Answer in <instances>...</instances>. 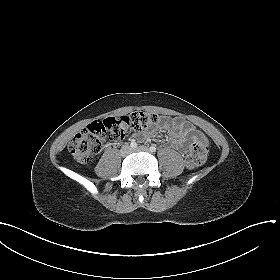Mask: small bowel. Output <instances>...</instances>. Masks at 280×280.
<instances>
[{
	"label": "small bowel",
	"instance_id": "c3829d8e",
	"mask_svg": "<svg viewBox=\"0 0 280 280\" xmlns=\"http://www.w3.org/2000/svg\"><path fill=\"white\" fill-rule=\"evenodd\" d=\"M170 126L173 130L175 145L179 146L184 152L187 150L190 143L197 140L206 141L205 136L201 132L197 131L189 122L181 118H174L172 121L164 119L160 125L161 128H168ZM134 137L142 138L143 136L134 134Z\"/></svg>",
	"mask_w": 280,
	"mask_h": 280
}]
</instances>
